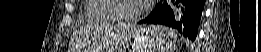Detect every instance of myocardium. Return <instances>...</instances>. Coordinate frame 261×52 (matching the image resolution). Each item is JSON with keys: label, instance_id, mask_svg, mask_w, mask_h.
I'll use <instances>...</instances> for the list:
<instances>
[{"label": "myocardium", "instance_id": "f54148a6", "mask_svg": "<svg viewBox=\"0 0 261 52\" xmlns=\"http://www.w3.org/2000/svg\"><path fill=\"white\" fill-rule=\"evenodd\" d=\"M120 1H128V0H114L113 1L112 9L114 11V15L116 16V18L118 19L119 22H124V23L136 22L145 14L146 5H145V3L140 2V7L134 15H132V16L120 15L117 12V5H118V2H120Z\"/></svg>", "mask_w": 261, "mask_h": 52}]
</instances>
